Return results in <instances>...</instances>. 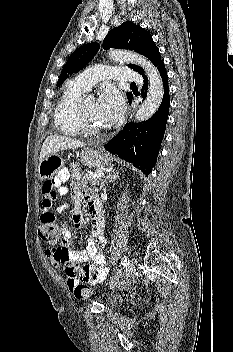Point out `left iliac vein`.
<instances>
[{"label": "left iliac vein", "instance_id": "obj_1", "mask_svg": "<svg viewBox=\"0 0 233 352\" xmlns=\"http://www.w3.org/2000/svg\"><path fill=\"white\" fill-rule=\"evenodd\" d=\"M136 264H137L136 259H135V258H132V259L130 260V262H129V267H130V269H133V268L136 266Z\"/></svg>", "mask_w": 233, "mask_h": 352}]
</instances>
